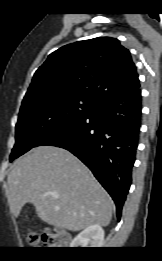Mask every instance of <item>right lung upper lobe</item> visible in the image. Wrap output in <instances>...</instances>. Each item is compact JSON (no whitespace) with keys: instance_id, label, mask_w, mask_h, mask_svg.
<instances>
[{"instance_id":"right-lung-upper-lobe-1","label":"right lung upper lobe","mask_w":162,"mask_h":261,"mask_svg":"<svg viewBox=\"0 0 162 261\" xmlns=\"http://www.w3.org/2000/svg\"><path fill=\"white\" fill-rule=\"evenodd\" d=\"M139 86L129 50L116 38L98 37L68 44L51 53L35 72L23 101L76 95L96 102Z\"/></svg>"}]
</instances>
